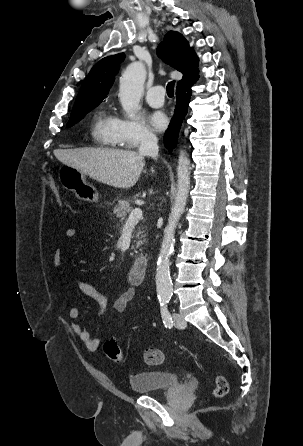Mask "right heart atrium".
<instances>
[{
    "label": "right heart atrium",
    "instance_id": "d8ad5b80",
    "mask_svg": "<svg viewBox=\"0 0 303 446\" xmlns=\"http://www.w3.org/2000/svg\"><path fill=\"white\" fill-rule=\"evenodd\" d=\"M116 136L120 145L126 148H137L152 144L156 135L140 117L117 118Z\"/></svg>",
    "mask_w": 303,
    "mask_h": 446
}]
</instances>
